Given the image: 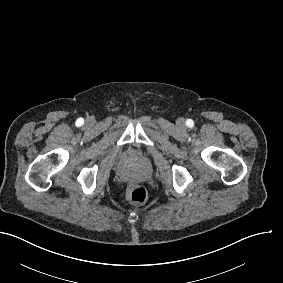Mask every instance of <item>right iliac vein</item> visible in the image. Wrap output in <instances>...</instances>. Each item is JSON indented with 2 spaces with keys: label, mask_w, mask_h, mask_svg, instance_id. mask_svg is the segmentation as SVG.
<instances>
[{
  "label": "right iliac vein",
  "mask_w": 283,
  "mask_h": 283,
  "mask_svg": "<svg viewBox=\"0 0 283 283\" xmlns=\"http://www.w3.org/2000/svg\"><path fill=\"white\" fill-rule=\"evenodd\" d=\"M93 121H94V120H93L92 117H90V118L87 119V123H92Z\"/></svg>",
  "instance_id": "right-iliac-vein-1"
}]
</instances>
